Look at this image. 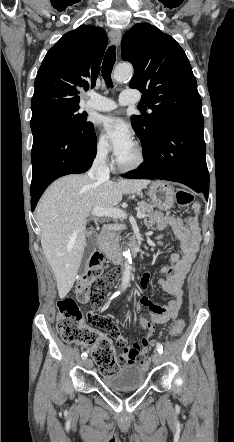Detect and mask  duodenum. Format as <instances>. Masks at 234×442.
Masks as SVG:
<instances>
[{
  "label": "duodenum",
  "instance_id": "obj_1",
  "mask_svg": "<svg viewBox=\"0 0 234 442\" xmlns=\"http://www.w3.org/2000/svg\"><path fill=\"white\" fill-rule=\"evenodd\" d=\"M100 249L107 258L115 265H119L124 260V254L121 251H116L113 248H111L108 240V228L106 227L104 229V234L100 238ZM141 249L140 246L137 243H134L130 246V253L133 256H136L140 253Z\"/></svg>",
  "mask_w": 234,
  "mask_h": 442
}]
</instances>
